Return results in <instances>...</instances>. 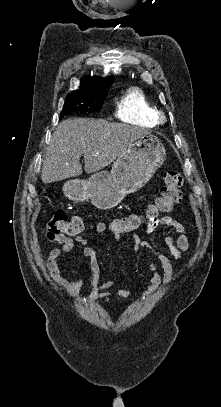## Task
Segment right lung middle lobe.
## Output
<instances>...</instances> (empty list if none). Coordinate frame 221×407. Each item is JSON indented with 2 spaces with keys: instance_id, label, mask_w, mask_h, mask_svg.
Masks as SVG:
<instances>
[{
  "instance_id": "dd1d6c3e",
  "label": "right lung middle lobe",
  "mask_w": 221,
  "mask_h": 407,
  "mask_svg": "<svg viewBox=\"0 0 221 407\" xmlns=\"http://www.w3.org/2000/svg\"><path fill=\"white\" fill-rule=\"evenodd\" d=\"M109 88L93 92H71L67 95L61 117L76 111L98 112Z\"/></svg>"
}]
</instances>
